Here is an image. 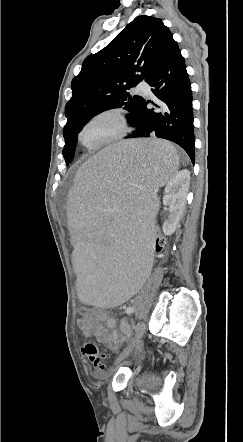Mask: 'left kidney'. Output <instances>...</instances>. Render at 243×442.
I'll return each mask as SVG.
<instances>
[{
    "mask_svg": "<svg viewBox=\"0 0 243 442\" xmlns=\"http://www.w3.org/2000/svg\"><path fill=\"white\" fill-rule=\"evenodd\" d=\"M189 180L190 173L185 169L178 172L167 183L168 194L163 198L164 205L169 206L168 219L165 220L163 224L165 228L164 234L167 236H170L175 232L177 224L182 216L186 203Z\"/></svg>",
    "mask_w": 243,
    "mask_h": 442,
    "instance_id": "left-kidney-1",
    "label": "left kidney"
}]
</instances>
